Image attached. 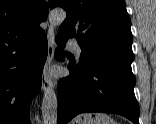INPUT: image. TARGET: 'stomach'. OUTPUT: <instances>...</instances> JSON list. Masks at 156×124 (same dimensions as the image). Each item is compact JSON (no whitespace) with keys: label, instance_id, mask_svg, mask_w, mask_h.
I'll return each mask as SVG.
<instances>
[{"label":"stomach","instance_id":"0dacf381","mask_svg":"<svg viewBox=\"0 0 156 124\" xmlns=\"http://www.w3.org/2000/svg\"><path fill=\"white\" fill-rule=\"evenodd\" d=\"M71 124H117L105 114L83 115L77 117Z\"/></svg>","mask_w":156,"mask_h":124}]
</instances>
